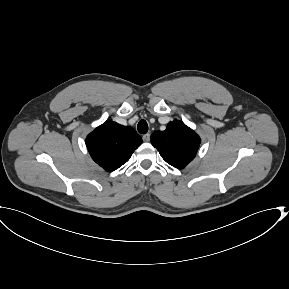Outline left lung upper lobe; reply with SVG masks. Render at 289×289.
Returning a JSON list of instances; mask_svg holds the SVG:
<instances>
[{
  "instance_id": "5c2ea615",
  "label": "left lung upper lobe",
  "mask_w": 289,
  "mask_h": 289,
  "mask_svg": "<svg viewBox=\"0 0 289 289\" xmlns=\"http://www.w3.org/2000/svg\"><path fill=\"white\" fill-rule=\"evenodd\" d=\"M200 137L179 120L170 122L164 131L151 135L152 145L170 165L183 169L196 156Z\"/></svg>"
}]
</instances>
